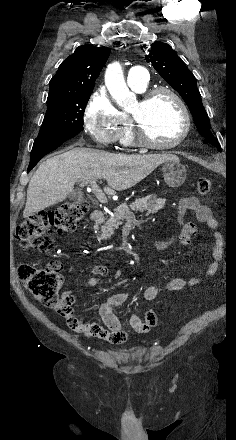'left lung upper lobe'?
<instances>
[{
	"label": "left lung upper lobe",
	"instance_id": "obj_1",
	"mask_svg": "<svg viewBox=\"0 0 236 440\" xmlns=\"http://www.w3.org/2000/svg\"><path fill=\"white\" fill-rule=\"evenodd\" d=\"M142 49L147 53L149 62L161 77L170 84L188 105L195 125L204 138L214 137L208 115L203 107L196 78L186 64L177 56L170 45L165 43L145 44Z\"/></svg>",
	"mask_w": 236,
	"mask_h": 440
}]
</instances>
